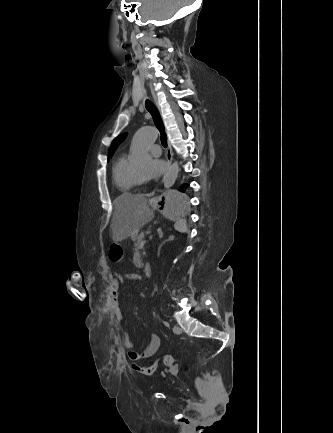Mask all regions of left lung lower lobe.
<instances>
[{
	"label": "left lung lower lobe",
	"mask_w": 333,
	"mask_h": 433,
	"mask_svg": "<svg viewBox=\"0 0 333 433\" xmlns=\"http://www.w3.org/2000/svg\"><path fill=\"white\" fill-rule=\"evenodd\" d=\"M188 186H189L188 184H183L180 187V191H185V189ZM178 207H179V205H178L177 200H176L175 197H172V198H170V199L167 200V202H166V208H167L168 211L174 212V211H176L178 209Z\"/></svg>",
	"instance_id": "left-lung-lower-lobe-1"
}]
</instances>
